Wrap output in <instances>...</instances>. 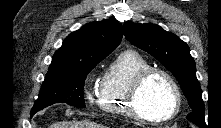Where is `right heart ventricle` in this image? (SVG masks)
Segmentation results:
<instances>
[{
	"instance_id": "right-heart-ventricle-1",
	"label": "right heart ventricle",
	"mask_w": 221,
	"mask_h": 128,
	"mask_svg": "<svg viewBox=\"0 0 221 128\" xmlns=\"http://www.w3.org/2000/svg\"><path fill=\"white\" fill-rule=\"evenodd\" d=\"M148 60L135 50H125L106 68L98 96L101 110L117 117H131L128 94L134 79L150 68Z\"/></svg>"
}]
</instances>
